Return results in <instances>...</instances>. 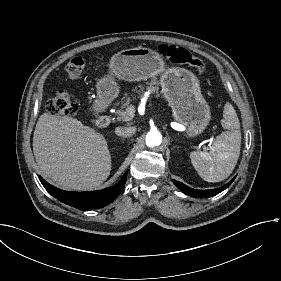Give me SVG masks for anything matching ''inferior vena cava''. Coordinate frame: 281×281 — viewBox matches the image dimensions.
I'll list each match as a JSON object with an SVG mask.
<instances>
[{"instance_id":"inferior-vena-cava-1","label":"inferior vena cava","mask_w":281,"mask_h":281,"mask_svg":"<svg viewBox=\"0 0 281 281\" xmlns=\"http://www.w3.org/2000/svg\"><path fill=\"white\" fill-rule=\"evenodd\" d=\"M129 135H130V133L128 132L127 129H124L121 131V136H129Z\"/></svg>"}]
</instances>
